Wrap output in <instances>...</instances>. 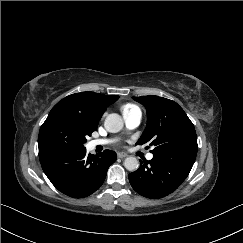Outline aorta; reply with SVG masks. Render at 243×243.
<instances>
[{"label": "aorta", "mask_w": 243, "mask_h": 243, "mask_svg": "<svg viewBox=\"0 0 243 243\" xmlns=\"http://www.w3.org/2000/svg\"><path fill=\"white\" fill-rule=\"evenodd\" d=\"M123 120L116 113L109 114L104 122V127L108 132L116 133L123 128ZM124 166L129 171H136L139 168V160L136 157H128L124 161Z\"/></svg>", "instance_id": "obj_1"}]
</instances>
